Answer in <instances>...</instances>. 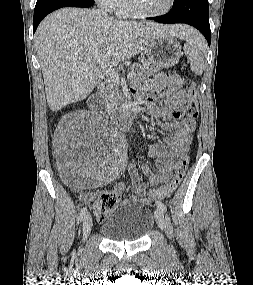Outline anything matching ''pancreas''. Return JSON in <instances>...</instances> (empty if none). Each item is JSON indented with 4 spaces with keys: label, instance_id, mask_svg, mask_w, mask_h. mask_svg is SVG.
Listing matches in <instances>:
<instances>
[{
    "label": "pancreas",
    "instance_id": "1",
    "mask_svg": "<svg viewBox=\"0 0 253 285\" xmlns=\"http://www.w3.org/2000/svg\"><path fill=\"white\" fill-rule=\"evenodd\" d=\"M130 72H135L138 78L153 76L161 70V67L151 65L150 63L143 62L142 64L135 63L129 68ZM99 94L104 101L105 108L109 112L117 109L118 101L122 99L119 90V82H113L110 79L104 81L100 88Z\"/></svg>",
    "mask_w": 253,
    "mask_h": 285
}]
</instances>
